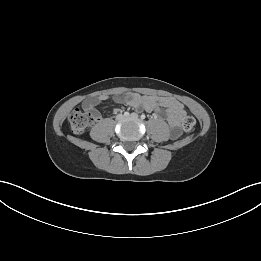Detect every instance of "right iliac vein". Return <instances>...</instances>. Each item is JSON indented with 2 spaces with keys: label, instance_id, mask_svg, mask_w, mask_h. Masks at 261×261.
<instances>
[{
  "label": "right iliac vein",
  "instance_id": "1",
  "mask_svg": "<svg viewBox=\"0 0 261 261\" xmlns=\"http://www.w3.org/2000/svg\"><path fill=\"white\" fill-rule=\"evenodd\" d=\"M123 119V115L122 114H118L117 116H116V120L117 121H120V120H122Z\"/></svg>",
  "mask_w": 261,
  "mask_h": 261
}]
</instances>
